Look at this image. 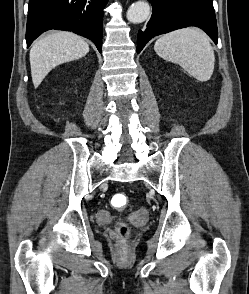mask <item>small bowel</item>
<instances>
[{"mask_svg": "<svg viewBox=\"0 0 249 294\" xmlns=\"http://www.w3.org/2000/svg\"><path fill=\"white\" fill-rule=\"evenodd\" d=\"M137 216H138V218L139 219H145V217H146V214H145V212L144 211H140L138 214H137Z\"/></svg>", "mask_w": 249, "mask_h": 294, "instance_id": "1", "label": "small bowel"}]
</instances>
